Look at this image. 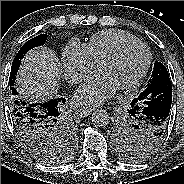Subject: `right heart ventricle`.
Instances as JSON below:
<instances>
[{
  "mask_svg": "<svg viewBox=\"0 0 184 184\" xmlns=\"http://www.w3.org/2000/svg\"><path fill=\"white\" fill-rule=\"evenodd\" d=\"M135 39L133 35L121 30H104L93 35L87 47L92 59L99 64L119 45Z\"/></svg>",
  "mask_w": 184,
  "mask_h": 184,
  "instance_id": "e07e8e85",
  "label": "right heart ventricle"
}]
</instances>
